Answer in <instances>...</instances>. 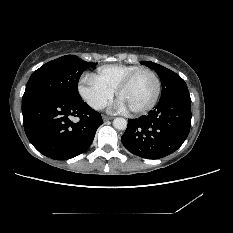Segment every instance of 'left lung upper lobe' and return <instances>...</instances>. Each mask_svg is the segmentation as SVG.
<instances>
[{
    "label": "left lung upper lobe",
    "instance_id": "obj_1",
    "mask_svg": "<svg viewBox=\"0 0 233 233\" xmlns=\"http://www.w3.org/2000/svg\"><path fill=\"white\" fill-rule=\"evenodd\" d=\"M142 64L153 69L160 77L162 84V95L160 101H164L176 94L188 92L185 81L175 72L150 61H143Z\"/></svg>",
    "mask_w": 233,
    "mask_h": 233
}]
</instances>
